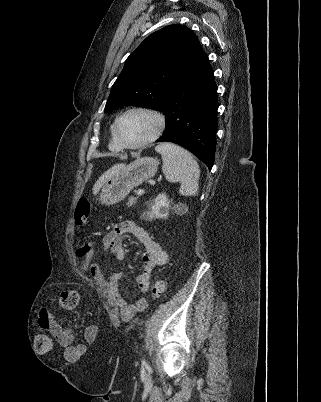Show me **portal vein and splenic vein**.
I'll use <instances>...</instances> for the list:
<instances>
[{"mask_svg": "<svg viewBox=\"0 0 321 402\" xmlns=\"http://www.w3.org/2000/svg\"><path fill=\"white\" fill-rule=\"evenodd\" d=\"M144 194V190L143 189H139L137 192H136V195L137 196H141V195H143Z\"/></svg>", "mask_w": 321, "mask_h": 402, "instance_id": "1", "label": "portal vein and splenic vein"}]
</instances>
